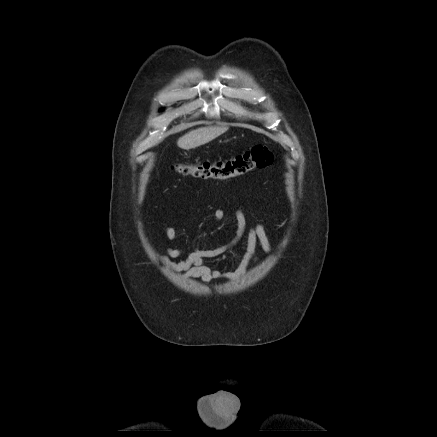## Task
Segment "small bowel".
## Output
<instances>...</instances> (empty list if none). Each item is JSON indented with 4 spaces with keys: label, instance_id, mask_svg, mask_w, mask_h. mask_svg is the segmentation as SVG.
<instances>
[{
    "label": "small bowel",
    "instance_id": "1",
    "mask_svg": "<svg viewBox=\"0 0 437 437\" xmlns=\"http://www.w3.org/2000/svg\"><path fill=\"white\" fill-rule=\"evenodd\" d=\"M213 216L216 222H220L225 218V213L222 209H216ZM235 220V234L228 243L222 246L214 249L196 247L186 258L178 261L176 259L183 255V250L179 247H168L164 253L158 254L157 258L166 268L176 272L182 278L200 279L206 284L214 280H237L245 274L249 264L256 260L255 251L257 246H260L266 253L272 251V246L264 226L262 224H256L247 232L245 252L235 270L222 271L208 265L207 259L223 255L235 247L244 236L246 232V218L241 210L235 211ZM164 233L171 241L177 239V232L171 226L166 227Z\"/></svg>",
    "mask_w": 437,
    "mask_h": 437
}]
</instances>
